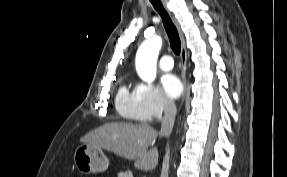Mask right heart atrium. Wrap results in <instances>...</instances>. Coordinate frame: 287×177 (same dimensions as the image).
<instances>
[{"label":"right heart atrium","mask_w":287,"mask_h":177,"mask_svg":"<svg viewBox=\"0 0 287 177\" xmlns=\"http://www.w3.org/2000/svg\"><path fill=\"white\" fill-rule=\"evenodd\" d=\"M136 92L142 120H157L173 108L172 102L155 86L142 83L136 87Z\"/></svg>","instance_id":"1"}]
</instances>
